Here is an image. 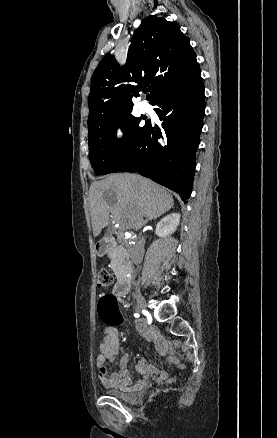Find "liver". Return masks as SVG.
I'll list each match as a JSON object with an SVG mask.
<instances>
[{
    "label": "liver",
    "instance_id": "liver-1",
    "mask_svg": "<svg viewBox=\"0 0 277 438\" xmlns=\"http://www.w3.org/2000/svg\"><path fill=\"white\" fill-rule=\"evenodd\" d=\"M93 236L109 224L110 212L126 230H138L146 220H156L174 206L173 196L138 174H115L90 186Z\"/></svg>",
    "mask_w": 277,
    "mask_h": 438
}]
</instances>
